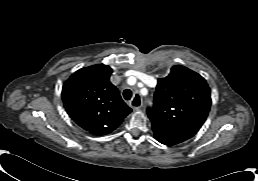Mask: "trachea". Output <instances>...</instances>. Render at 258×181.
Here are the masks:
<instances>
[{"label": "trachea", "instance_id": "3493384b", "mask_svg": "<svg viewBox=\"0 0 258 181\" xmlns=\"http://www.w3.org/2000/svg\"><path fill=\"white\" fill-rule=\"evenodd\" d=\"M123 96H124V99H125V100H130L131 97H132V92H131V90L125 89L124 92H123ZM135 105H137V104H135Z\"/></svg>", "mask_w": 258, "mask_h": 181}]
</instances>
